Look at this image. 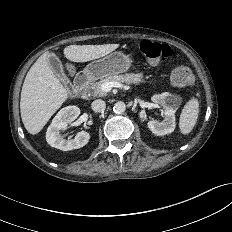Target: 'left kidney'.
Segmentation results:
<instances>
[{"instance_id": "5707ae66", "label": "left kidney", "mask_w": 232, "mask_h": 232, "mask_svg": "<svg viewBox=\"0 0 232 232\" xmlns=\"http://www.w3.org/2000/svg\"><path fill=\"white\" fill-rule=\"evenodd\" d=\"M152 102L165 108V118L162 122L152 120L147 123L148 128L157 136L170 134L176 126L175 112L180 103V97L168 92L154 95Z\"/></svg>"}]
</instances>
